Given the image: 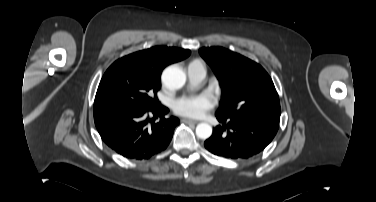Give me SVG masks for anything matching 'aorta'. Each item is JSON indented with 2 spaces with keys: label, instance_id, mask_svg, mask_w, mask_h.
Masks as SVG:
<instances>
[{
  "label": "aorta",
  "instance_id": "obj_1",
  "mask_svg": "<svg viewBox=\"0 0 376 202\" xmlns=\"http://www.w3.org/2000/svg\"><path fill=\"white\" fill-rule=\"evenodd\" d=\"M162 82L170 90L180 89L186 82L185 72L173 65L167 67L162 73ZM212 134V127L208 123H200L196 127V135L200 139H207Z\"/></svg>",
  "mask_w": 376,
  "mask_h": 202
}]
</instances>
